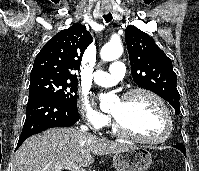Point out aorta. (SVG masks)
Here are the masks:
<instances>
[{
    "label": "aorta",
    "instance_id": "1",
    "mask_svg": "<svg viewBox=\"0 0 199 171\" xmlns=\"http://www.w3.org/2000/svg\"><path fill=\"white\" fill-rule=\"evenodd\" d=\"M123 52V47L120 43H107L101 50L100 56L101 59L104 61H113L118 59ZM114 96L111 94H103L99 95L100 100V108L106 109L109 107L111 101L113 100Z\"/></svg>",
    "mask_w": 199,
    "mask_h": 171
}]
</instances>
